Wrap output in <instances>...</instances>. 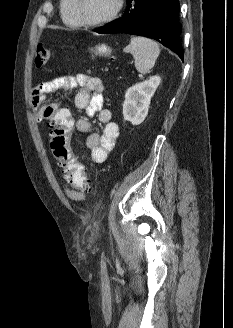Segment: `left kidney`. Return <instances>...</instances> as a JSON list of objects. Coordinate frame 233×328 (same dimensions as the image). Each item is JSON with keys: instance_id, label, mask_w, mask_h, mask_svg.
<instances>
[{"instance_id": "left-kidney-1", "label": "left kidney", "mask_w": 233, "mask_h": 328, "mask_svg": "<svg viewBox=\"0 0 233 328\" xmlns=\"http://www.w3.org/2000/svg\"><path fill=\"white\" fill-rule=\"evenodd\" d=\"M161 82L158 75L127 89L123 103V117L133 125L141 124L148 114L151 98Z\"/></svg>"}]
</instances>
